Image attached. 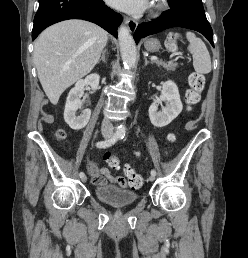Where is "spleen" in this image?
Segmentation results:
<instances>
[{"mask_svg":"<svg viewBox=\"0 0 248 258\" xmlns=\"http://www.w3.org/2000/svg\"><path fill=\"white\" fill-rule=\"evenodd\" d=\"M188 50L193 55V66L197 73L208 74L211 71V58L205 43L192 32H187Z\"/></svg>","mask_w":248,"mask_h":258,"instance_id":"1","label":"spleen"}]
</instances>
